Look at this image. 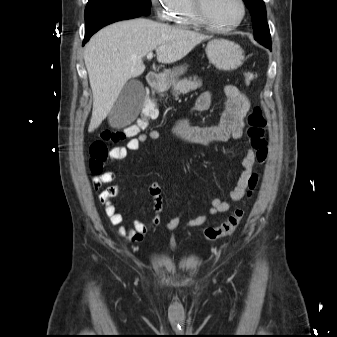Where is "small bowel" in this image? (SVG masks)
I'll return each instance as SVG.
<instances>
[{
  "instance_id": "c3829d8e",
  "label": "small bowel",
  "mask_w": 337,
  "mask_h": 337,
  "mask_svg": "<svg viewBox=\"0 0 337 337\" xmlns=\"http://www.w3.org/2000/svg\"><path fill=\"white\" fill-rule=\"evenodd\" d=\"M226 103L221 114L220 122L212 126H196L192 125L187 117L179 119L173 127V135L181 141L200 144L213 145L227 142L230 140H240L245 128V118L250 110V102L247 96L236 86L226 85L223 88ZM212 102V93L205 91L201 93L195 100L191 112H204L210 108ZM160 138V133L151 130L148 133H141L134 138L128 140L125 145L113 146L109 150L108 157L111 161L124 159L128 151L139 150L142 144L147 141H155ZM243 171L236 181L234 188L230 192V201L238 202L245 195L248 189V181L252 175V169L255 165V152L249 148L242 157L241 161ZM116 180V174L113 171H106L96 176L92 181L94 190L98 191V201L104 207L105 214L110 223L118 226V234L133 242H140L150 229H155L160 225L161 212L163 209V201L161 197V186L157 182H153L149 186V192L154 200V214L149 224L141 220H133L131 225L124 224V216L117 209L113 202V198L121 192L119 186H105ZM105 186V187H104ZM230 203L219 197L211 200V205L206 214L199 215L190 219L184 228H196L204 225L209 216H215L219 213H225L230 210ZM184 212H179L175 217L171 218L166 228L168 231L175 230L181 223Z\"/></svg>"
}]
</instances>
